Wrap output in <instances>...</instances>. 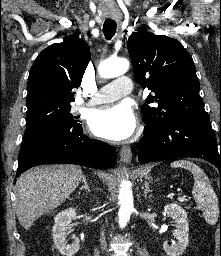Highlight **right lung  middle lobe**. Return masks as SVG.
I'll return each mask as SVG.
<instances>
[{"mask_svg":"<svg viewBox=\"0 0 221 256\" xmlns=\"http://www.w3.org/2000/svg\"><path fill=\"white\" fill-rule=\"evenodd\" d=\"M69 106H40L27 111L26 130L23 140L34 134L54 126L71 125L79 123L70 113Z\"/></svg>","mask_w":221,"mask_h":256,"instance_id":"1","label":"right lung middle lobe"}]
</instances>
